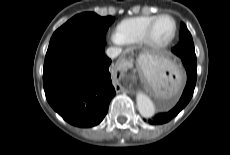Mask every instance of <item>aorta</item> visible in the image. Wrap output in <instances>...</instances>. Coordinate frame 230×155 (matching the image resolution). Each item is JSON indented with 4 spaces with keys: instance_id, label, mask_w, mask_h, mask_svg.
Wrapping results in <instances>:
<instances>
[{
    "instance_id": "762f6f07",
    "label": "aorta",
    "mask_w": 230,
    "mask_h": 155,
    "mask_svg": "<svg viewBox=\"0 0 230 155\" xmlns=\"http://www.w3.org/2000/svg\"><path fill=\"white\" fill-rule=\"evenodd\" d=\"M136 100L138 110L143 117L150 118L154 115V104L146 94L138 93L136 96Z\"/></svg>"
}]
</instances>
